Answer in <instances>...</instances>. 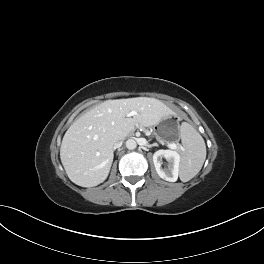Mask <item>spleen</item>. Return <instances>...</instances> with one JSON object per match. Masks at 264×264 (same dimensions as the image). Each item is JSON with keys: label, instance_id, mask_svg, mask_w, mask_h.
Returning <instances> with one entry per match:
<instances>
[{"label": "spleen", "instance_id": "obj_1", "mask_svg": "<svg viewBox=\"0 0 264 264\" xmlns=\"http://www.w3.org/2000/svg\"><path fill=\"white\" fill-rule=\"evenodd\" d=\"M180 138L184 147L180 163V179L187 182L201 170L206 159V145L202 136L189 123L180 126Z\"/></svg>", "mask_w": 264, "mask_h": 264}]
</instances>
